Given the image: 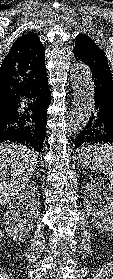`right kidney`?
<instances>
[{
	"instance_id": "ca27d5eb",
	"label": "right kidney",
	"mask_w": 113,
	"mask_h": 279,
	"mask_svg": "<svg viewBox=\"0 0 113 279\" xmlns=\"http://www.w3.org/2000/svg\"><path fill=\"white\" fill-rule=\"evenodd\" d=\"M28 199L30 203L23 208L22 203ZM38 207L39 192L35 187L27 188L9 204L4 215V225L6 232L13 237L14 241H22L27 238L38 217ZM23 216L25 217L23 218Z\"/></svg>"
}]
</instances>
